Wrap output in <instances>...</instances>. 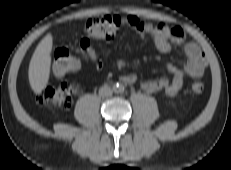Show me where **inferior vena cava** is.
<instances>
[{
  "label": "inferior vena cava",
  "mask_w": 231,
  "mask_h": 170,
  "mask_svg": "<svg viewBox=\"0 0 231 170\" xmlns=\"http://www.w3.org/2000/svg\"><path fill=\"white\" fill-rule=\"evenodd\" d=\"M113 93V90L105 85V86H102L100 89H99V95L102 96V97H109L111 96Z\"/></svg>",
  "instance_id": "602c4592"
}]
</instances>
